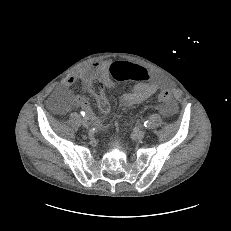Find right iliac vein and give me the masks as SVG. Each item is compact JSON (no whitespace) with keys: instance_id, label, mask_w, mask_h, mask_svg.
I'll use <instances>...</instances> for the list:
<instances>
[{"instance_id":"right-iliac-vein-1","label":"right iliac vein","mask_w":231,"mask_h":231,"mask_svg":"<svg viewBox=\"0 0 231 231\" xmlns=\"http://www.w3.org/2000/svg\"><path fill=\"white\" fill-rule=\"evenodd\" d=\"M81 123L84 128H89V122L86 119H83Z\"/></svg>"}]
</instances>
